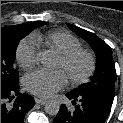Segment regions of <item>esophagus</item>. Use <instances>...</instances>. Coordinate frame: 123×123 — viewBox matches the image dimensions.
Here are the masks:
<instances>
[{"mask_svg":"<svg viewBox=\"0 0 123 123\" xmlns=\"http://www.w3.org/2000/svg\"><path fill=\"white\" fill-rule=\"evenodd\" d=\"M35 102H36L37 104L43 105V104L46 103V100H44V99H39V98H35Z\"/></svg>","mask_w":123,"mask_h":123,"instance_id":"obj_1","label":"esophagus"}]
</instances>
